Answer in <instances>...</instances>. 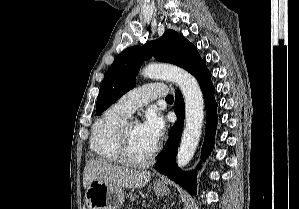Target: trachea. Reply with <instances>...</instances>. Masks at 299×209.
<instances>
[{"mask_svg":"<svg viewBox=\"0 0 299 209\" xmlns=\"http://www.w3.org/2000/svg\"><path fill=\"white\" fill-rule=\"evenodd\" d=\"M166 100H167V101H173V100H174V98H173V96H172V95H168V96L166 97Z\"/></svg>","mask_w":299,"mask_h":209,"instance_id":"1","label":"trachea"}]
</instances>
